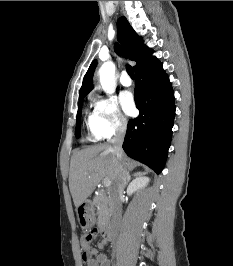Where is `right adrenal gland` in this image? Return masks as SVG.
<instances>
[{"mask_svg": "<svg viewBox=\"0 0 233 266\" xmlns=\"http://www.w3.org/2000/svg\"><path fill=\"white\" fill-rule=\"evenodd\" d=\"M141 174H142L141 172H136V173H134V176H140ZM130 179H131V176L128 175L127 183L130 181Z\"/></svg>", "mask_w": 233, "mask_h": 266, "instance_id": "right-adrenal-gland-1", "label": "right adrenal gland"}]
</instances>
